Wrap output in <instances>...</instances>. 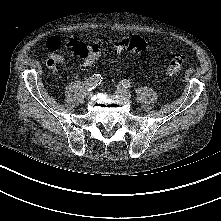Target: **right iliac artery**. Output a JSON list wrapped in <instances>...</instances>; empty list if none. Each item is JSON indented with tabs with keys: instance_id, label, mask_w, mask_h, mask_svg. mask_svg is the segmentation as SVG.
Segmentation results:
<instances>
[{
	"instance_id": "1",
	"label": "right iliac artery",
	"mask_w": 221,
	"mask_h": 221,
	"mask_svg": "<svg viewBox=\"0 0 221 221\" xmlns=\"http://www.w3.org/2000/svg\"><path fill=\"white\" fill-rule=\"evenodd\" d=\"M102 81V77L100 74H94L90 78H88L85 81V86L88 90L94 89L96 86H98Z\"/></svg>"
}]
</instances>
